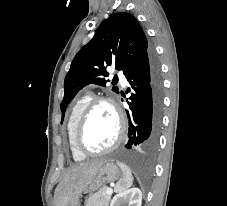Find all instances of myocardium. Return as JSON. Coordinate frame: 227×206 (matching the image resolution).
Wrapping results in <instances>:
<instances>
[{"mask_svg":"<svg viewBox=\"0 0 227 206\" xmlns=\"http://www.w3.org/2000/svg\"><path fill=\"white\" fill-rule=\"evenodd\" d=\"M100 104H107L114 110L118 121V133H117L116 139L110 146H108L103 150L92 151L84 145L83 133H84V129L87 124V121L89 119V116L91 115L92 111ZM125 131H126V121L118 103L111 97H107V96L95 97L86 105V107L84 108V110L82 111L79 117V120L75 128V132H74V146L80 153H82L85 156L104 155L111 152L112 150H114L116 147L120 145V143L122 142L125 136Z\"/></svg>","mask_w":227,"mask_h":206,"instance_id":"obj_1","label":"myocardium"}]
</instances>
